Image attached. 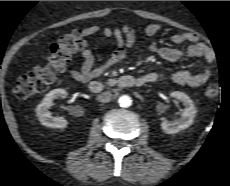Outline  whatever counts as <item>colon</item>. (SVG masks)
I'll use <instances>...</instances> for the list:
<instances>
[{
  "label": "colon",
  "instance_id": "colon-1",
  "mask_svg": "<svg viewBox=\"0 0 230 186\" xmlns=\"http://www.w3.org/2000/svg\"><path fill=\"white\" fill-rule=\"evenodd\" d=\"M86 47L82 31L61 36L50 48V56L45 65L37 66L18 78L15 94L20 99H27L45 92L55 79V74L63 70L71 57ZM220 92L217 82L208 84L205 94L208 98L216 97Z\"/></svg>",
  "mask_w": 230,
  "mask_h": 186
}]
</instances>
